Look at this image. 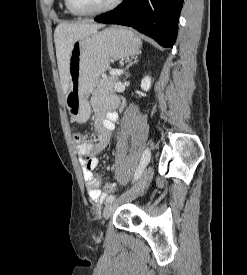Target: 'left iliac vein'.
Masks as SVG:
<instances>
[{
	"label": "left iliac vein",
	"instance_id": "left-iliac-vein-1",
	"mask_svg": "<svg viewBox=\"0 0 247 275\" xmlns=\"http://www.w3.org/2000/svg\"><path fill=\"white\" fill-rule=\"evenodd\" d=\"M153 177V168L152 167H148L142 174L141 178L139 179V181L137 182V184L128 192L124 193L121 196V199L119 201H112V202H108L104 208L103 211V216L105 219L110 218L115 209L117 208V206L124 201H129L135 197H137L138 195H140L144 189L148 186V184L151 182Z\"/></svg>",
	"mask_w": 247,
	"mask_h": 275
}]
</instances>
